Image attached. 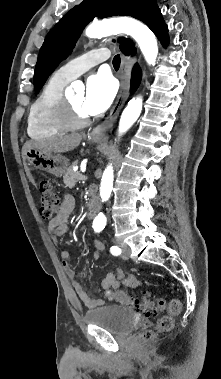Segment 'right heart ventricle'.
I'll list each match as a JSON object with an SVG mask.
<instances>
[{"label": "right heart ventricle", "mask_w": 221, "mask_h": 379, "mask_svg": "<svg viewBox=\"0 0 221 379\" xmlns=\"http://www.w3.org/2000/svg\"><path fill=\"white\" fill-rule=\"evenodd\" d=\"M68 83L55 73L33 100L27 117V133L31 138H51L69 129L59 117L63 91Z\"/></svg>", "instance_id": "1"}]
</instances>
